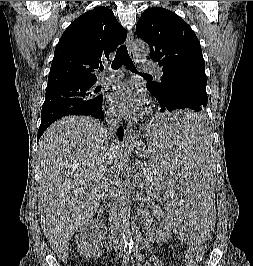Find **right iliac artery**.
Segmentation results:
<instances>
[{
  "label": "right iliac artery",
  "mask_w": 253,
  "mask_h": 266,
  "mask_svg": "<svg viewBox=\"0 0 253 266\" xmlns=\"http://www.w3.org/2000/svg\"><path fill=\"white\" fill-rule=\"evenodd\" d=\"M130 258H131V248L130 247H125L124 248L122 266H127L128 263H129Z\"/></svg>",
  "instance_id": "82829eb1"
}]
</instances>
